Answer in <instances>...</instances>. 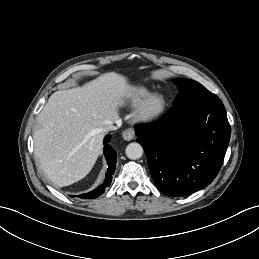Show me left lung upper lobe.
I'll return each mask as SVG.
<instances>
[{"label":"left lung upper lobe","instance_id":"obj_1","mask_svg":"<svg viewBox=\"0 0 259 259\" xmlns=\"http://www.w3.org/2000/svg\"><path fill=\"white\" fill-rule=\"evenodd\" d=\"M173 82L178 87L179 95L176 97L173 106L169 111L178 110L195 103L218 98V96L209 92L203 85L196 81L178 78Z\"/></svg>","mask_w":259,"mask_h":259}]
</instances>
